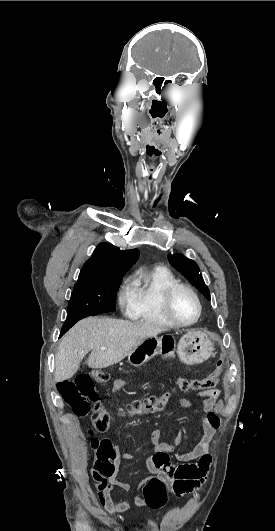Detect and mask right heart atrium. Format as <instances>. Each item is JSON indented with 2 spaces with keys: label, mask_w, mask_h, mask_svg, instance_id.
Segmentation results:
<instances>
[{
  "label": "right heart atrium",
  "mask_w": 275,
  "mask_h": 531,
  "mask_svg": "<svg viewBox=\"0 0 275 531\" xmlns=\"http://www.w3.org/2000/svg\"><path fill=\"white\" fill-rule=\"evenodd\" d=\"M120 307L126 315H132L137 306V285L133 277L123 280L119 290Z\"/></svg>",
  "instance_id": "right-heart-atrium-1"
}]
</instances>
